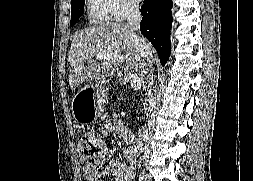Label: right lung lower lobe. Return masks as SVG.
Returning a JSON list of instances; mask_svg holds the SVG:
<instances>
[{"mask_svg":"<svg viewBox=\"0 0 253 181\" xmlns=\"http://www.w3.org/2000/svg\"><path fill=\"white\" fill-rule=\"evenodd\" d=\"M171 8L172 0H144L141 6V33L155 47L162 65H165L171 52Z\"/></svg>","mask_w":253,"mask_h":181,"instance_id":"1","label":"right lung lower lobe"}]
</instances>
